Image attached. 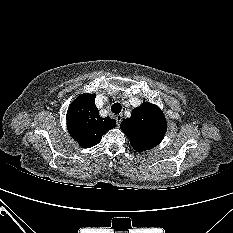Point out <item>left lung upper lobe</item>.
<instances>
[{
  "label": "left lung upper lobe",
  "instance_id": "1",
  "mask_svg": "<svg viewBox=\"0 0 233 233\" xmlns=\"http://www.w3.org/2000/svg\"><path fill=\"white\" fill-rule=\"evenodd\" d=\"M121 130L137 152H145L160 144L167 130L163 112L156 105L144 102L134 108L131 117L123 120Z\"/></svg>",
  "mask_w": 233,
  "mask_h": 233
}]
</instances>
